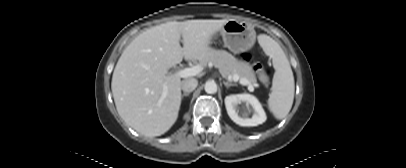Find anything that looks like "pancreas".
<instances>
[{
	"mask_svg": "<svg viewBox=\"0 0 406 168\" xmlns=\"http://www.w3.org/2000/svg\"><path fill=\"white\" fill-rule=\"evenodd\" d=\"M201 62L203 64L212 63L225 78L233 77V75L236 74L240 79H246L251 85L257 81L251 66L248 63L239 61L227 51L213 50V52L205 59H202Z\"/></svg>",
	"mask_w": 406,
	"mask_h": 168,
	"instance_id": "1",
	"label": "pancreas"
}]
</instances>
